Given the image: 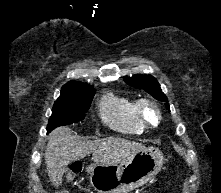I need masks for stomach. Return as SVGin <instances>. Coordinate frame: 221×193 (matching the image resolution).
Segmentation results:
<instances>
[{
	"instance_id": "obj_1",
	"label": "stomach",
	"mask_w": 221,
	"mask_h": 193,
	"mask_svg": "<svg viewBox=\"0 0 221 193\" xmlns=\"http://www.w3.org/2000/svg\"><path fill=\"white\" fill-rule=\"evenodd\" d=\"M164 156L149 147L133 154L120 165L93 164L86 168L92 187L99 193H128L143 186L160 170Z\"/></svg>"
}]
</instances>
